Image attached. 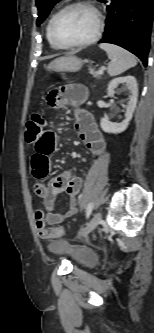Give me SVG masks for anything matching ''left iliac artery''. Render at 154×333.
Segmentation results:
<instances>
[{"mask_svg":"<svg viewBox=\"0 0 154 333\" xmlns=\"http://www.w3.org/2000/svg\"><path fill=\"white\" fill-rule=\"evenodd\" d=\"M93 210V202L89 203L86 209V217L89 218Z\"/></svg>","mask_w":154,"mask_h":333,"instance_id":"1","label":"left iliac artery"}]
</instances>
